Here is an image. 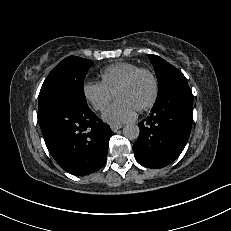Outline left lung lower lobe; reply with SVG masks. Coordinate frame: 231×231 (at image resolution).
<instances>
[{
  "label": "left lung lower lobe",
  "mask_w": 231,
  "mask_h": 231,
  "mask_svg": "<svg viewBox=\"0 0 231 231\" xmlns=\"http://www.w3.org/2000/svg\"><path fill=\"white\" fill-rule=\"evenodd\" d=\"M193 96L188 84L176 85L159 96L151 114L139 122L140 134L133 144L137 161L148 168L172 163L190 135Z\"/></svg>",
  "instance_id": "obj_1"
}]
</instances>
